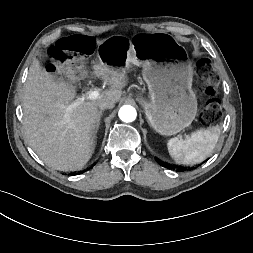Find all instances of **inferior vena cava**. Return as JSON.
<instances>
[{
  "mask_svg": "<svg viewBox=\"0 0 253 253\" xmlns=\"http://www.w3.org/2000/svg\"><path fill=\"white\" fill-rule=\"evenodd\" d=\"M99 108L103 109H112L114 108V102L111 100H103L99 103Z\"/></svg>",
  "mask_w": 253,
  "mask_h": 253,
  "instance_id": "inferior-vena-cava-1",
  "label": "inferior vena cava"
}]
</instances>
